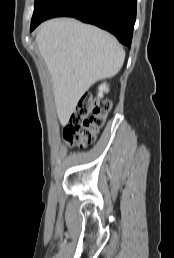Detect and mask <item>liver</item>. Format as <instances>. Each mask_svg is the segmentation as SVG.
I'll list each match as a JSON object with an SVG mask.
<instances>
[{"label": "liver", "mask_w": 174, "mask_h": 258, "mask_svg": "<svg viewBox=\"0 0 174 258\" xmlns=\"http://www.w3.org/2000/svg\"><path fill=\"white\" fill-rule=\"evenodd\" d=\"M36 43L50 72L56 111L63 124L90 86L116 75L125 59L115 37L70 18L41 24Z\"/></svg>", "instance_id": "6515ba94"}]
</instances>
